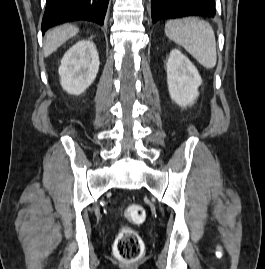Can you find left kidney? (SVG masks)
<instances>
[{"label":"left kidney","mask_w":265,"mask_h":269,"mask_svg":"<svg viewBox=\"0 0 265 269\" xmlns=\"http://www.w3.org/2000/svg\"><path fill=\"white\" fill-rule=\"evenodd\" d=\"M167 84L170 97L182 108L191 106L199 96L202 79L193 63L179 50L170 52L167 64Z\"/></svg>","instance_id":"left-kidney-1"}]
</instances>
